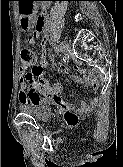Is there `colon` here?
I'll return each mask as SVG.
<instances>
[{
	"mask_svg": "<svg viewBox=\"0 0 123 167\" xmlns=\"http://www.w3.org/2000/svg\"><path fill=\"white\" fill-rule=\"evenodd\" d=\"M44 16L41 15L37 20V26L42 27ZM21 62L24 68L32 67L35 69L38 66V59L35 52L30 48H23L20 53ZM66 120L70 125L75 124L76 117L73 114H67Z\"/></svg>",
	"mask_w": 123,
	"mask_h": 167,
	"instance_id": "1",
	"label": "colon"
}]
</instances>
